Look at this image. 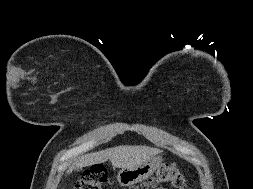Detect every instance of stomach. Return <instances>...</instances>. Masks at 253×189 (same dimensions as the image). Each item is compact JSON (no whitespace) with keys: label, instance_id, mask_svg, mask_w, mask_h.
Listing matches in <instances>:
<instances>
[{"label":"stomach","instance_id":"stomach-1","mask_svg":"<svg viewBox=\"0 0 253 189\" xmlns=\"http://www.w3.org/2000/svg\"><path fill=\"white\" fill-rule=\"evenodd\" d=\"M162 158L154 157L133 168H122L117 174L121 186H132L150 177L158 168Z\"/></svg>","mask_w":253,"mask_h":189}]
</instances>
